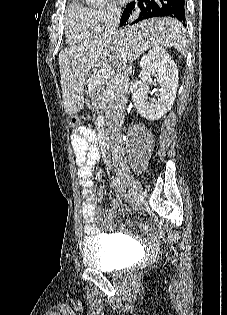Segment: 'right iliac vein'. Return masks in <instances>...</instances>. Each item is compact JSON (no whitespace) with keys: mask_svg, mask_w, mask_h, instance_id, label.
<instances>
[{"mask_svg":"<svg viewBox=\"0 0 227 315\" xmlns=\"http://www.w3.org/2000/svg\"><path fill=\"white\" fill-rule=\"evenodd\" d=\"M118 176L127 186L131 188L138 199L144 196L141 184L127 170H118Z\"/></svg>","mask_w":227,"mask_h":315,"instance_id":"obj_1","label":"right iliac vein"}]
</instances>
